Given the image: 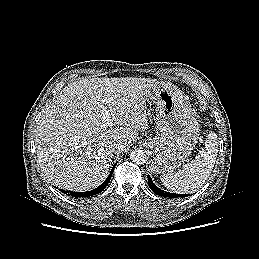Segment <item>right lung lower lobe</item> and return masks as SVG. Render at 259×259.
Listing matches in <instances>:
<instances>
[{
	"label": "right lung lower lobe",
	"instance_id": "98d812e1",
	"mask_svg": "<svg viewBox=\"0 0 259 259\" xmlns=\"http://www.w3.org/2000/svg\"><path fill=\"white\" fill-rule=\"evenodd\" d=\"M116 165V163H115ZM115 165L113 166L109 176L107 177V179L96 189H93L91 191H86V192H73V191H64L61 190L62 192L66 193L69 196H73V197H88V196H93L96 195L98 193H100L101 191H103L105 189V187L108 185V183L110 182L111 176L113 174Z\"/></svg>",
	"mask_w": 259,
	"mask_h": 259
}]
</instances>
